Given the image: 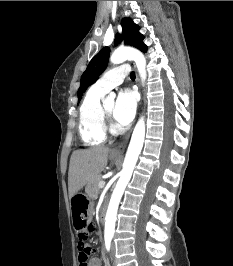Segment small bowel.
Returning a JSON list of instances; mask_svg holds the SVG:
<instances>
[{"instance_id": "c3829d8e", "label": "small bowel", "mask_w": 233, "mask_h": 266, "mask_svg": "<svg viewBox=\"0 0 233 266\" xmlns=\"http://www.w3.org/2000/svg\"><path fill=\"white\" fill-rule=\"evenodd\" d=\"M86 266H102V263L99 258H92L90 261H87Z\"/></svg>"}]
</instances>
